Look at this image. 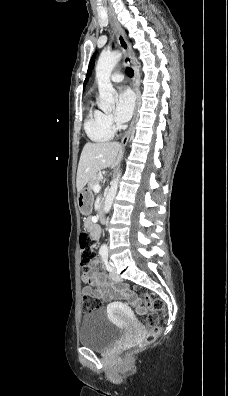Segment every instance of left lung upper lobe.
Wrapping results in <instances>:
<instances>
[{
    "mask_svg": "<svg viewBox=\"0 0 228 396\" xmlns=\"http://www.w3.org/2000/svg\"><path fill=\"white\" fill-rule=\"evenodd\" d=\"M94 59H95V55H93V57H92V59L90 61L88 72H87V77H86L85 82H84V87H85V85H86V83L88 81V75H90V72H91V70H92V68L94 66Z\"/></svg>",
    "mask_w": 228,
    "mask_h": 396,
    "instance_id": "left-lung-upper-lobe-1",
    "label": "left lung upper lobe"
}]
</instances>
